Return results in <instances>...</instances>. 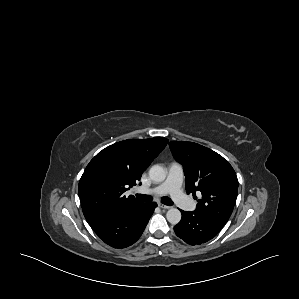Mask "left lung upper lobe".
Instances as JSON below:
<instances>
[{
    "label": "left lung upper lobe",
    "mask_w": 299,
    "mask_h": 299,
    "mask_svg": "<svg viewBox=\"0 0 299 299\" xmlns=\"http://www.w3.org/2000/svg\"><path fill=\"white\" fill-rule=\"evenodd\" d=\"M174 158L183 165L186 192L201 193L196 212L223 227L229 220L238 192L232 166L218 153L193 142L169 143Z\"/></svg>",
    "instance_id": "1"
}]
</instances>
